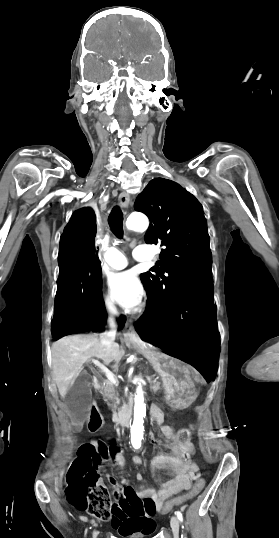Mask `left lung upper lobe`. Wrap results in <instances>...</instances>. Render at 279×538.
I'll return each instance as SVG.
<instances>
[{
  "instance_id": "1",
  "label": "left lung upper lobe",
  "mask_w": 279,
  "mask_h": 538,
  "mask_svg": "<svg viewBox=\"0 0 279 538\" xmlns=\"http://www.w3.org/2000/svg\"><path fill=\"white\" fill-rule=\"evenodd\" d=\"M134 208L150 220L145 241L166 246L159 267L142 273L148 307L142 316L153 318L182 292L212 281V255L203 210L197 199L177 183L156 178L138 195Z\"/></svg>"
}]
</instances>
